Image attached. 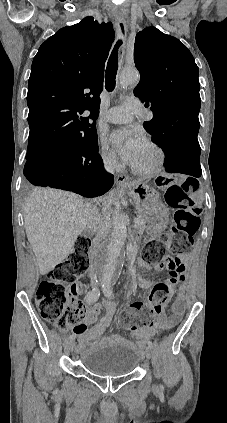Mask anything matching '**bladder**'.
<instances>
[{
    "mask_svg": "<svg viewBox=\"0 0 227 423\" xmlns=\"http://www.w3.org/2000/svg\"><path fill=\"white\" fill-rule=\"evenodd\" d=\"M141 357L130 343H114L90 350L80 360L89 373L101 378L128 376L139 364Z\"/></svg>",
    "mask_w": 227,
    "mask_h": 423,
    "instance_id": "31cf9c89",
    "label": "bladder"
}]
</instances>
